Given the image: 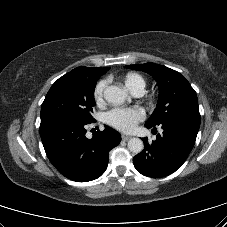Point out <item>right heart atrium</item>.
<instances>
[{
	"instance_id": "obj_1",
	"label": "right heart atrium",
	"mask_w": 227,
	"mask_h": 227,
	"mask_svg": "<svg viewBox=\"0 0 227 227\" xmlns=\"http://www.w3.org/2000/svg\"><path fill=\"white\" fill-rule=\"evenodd\" d=\"M107 86V80H100L94 87L93 97L96 103H101L103 101V95L105 88Z\"/></svg>"
}]
</instances>
